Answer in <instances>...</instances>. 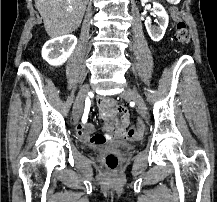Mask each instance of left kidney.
<instances>
[{"label": "left kidney", "mask_w": 217, "mask_h": 202, "mask_svg": "<svg viewBox=\"0 0 217 202\" xmlns=\"http://www.w3.org/2000/svg\"><path fill=\"white\" fill-rule=\"evenodd\" d=\"M153 14L157 16L158 26H151V20H149V18L145 20L144 24L151 40H153V42H160L165 34V30H167L169 16L163 6H161V4H155V2L153 4Z\"/></svg>", "instance_id": "obj_1"}]
</instances>
